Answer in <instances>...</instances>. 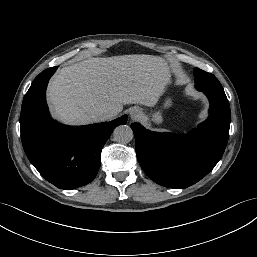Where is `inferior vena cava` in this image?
Instances as JSON below:
<instances>
[{
    "instance_id": "obj_1",
    "label": "inferior vena cava",
    "mask_w": 257,
    "mask_h": 257,
    "mask_svg": "<svg viewBox=\"0 0 257 257\" xmlns=\"http://www.w3.org/2000/svg\"><path fill=\"white\" fill-rule=\"evenodd\" d=\"M117 115V112L114 110H100L96 113L97 121H106L110 120Z\"/></svg>"
}]
</instances>
